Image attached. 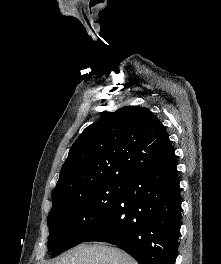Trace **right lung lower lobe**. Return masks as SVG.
<instances>
[{
  "mask_svg": "<svg viewBox=\"0 0 221 264\" xmlns=\"http://www.w3.org/2000/svg\"><path fill=\"white\" fill-rule=\"evenodd\" d=\"M124 183L114 208L82 242L114 244L139 264H175L181 210L175 156Z\"/></svg>",
  "mask_w": 221,
  "mask_h": 264,
  "instance_id": "obj_1",
  "label": "right lung lower lobe"
}]
</instances>
